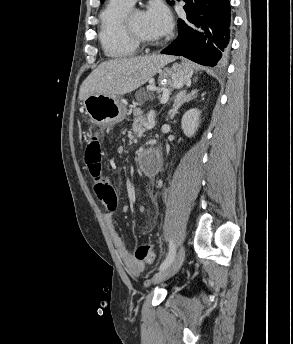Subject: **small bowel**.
Segmentation results:
<instances>
[{
    "instance_id": "1",
    "label": "small bowel",
    "mask_w": 293,
    "mask_h": 344,
    "mask_svg": "<svg viewBox=\"0 0 293 344\" xmlns=\"http://www.w3.org/2000/svg\"><path fill=\"white\" fill-rule=\"evenodd\" d=\"M105 220L107 225L109 226V230L113 239V243L115 245V248L118 252V255L122 262L125 264V266L134 274L139 275L144 268V265L142 262L136 260L130 251L128 250L124 239L122 236L117 232V230L114 227V212H109L105 216Z\"/></svg>"
}]
</instances>
